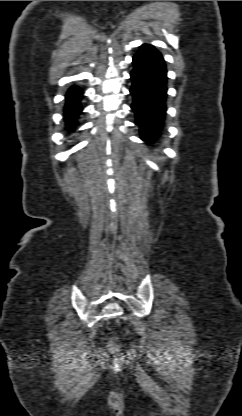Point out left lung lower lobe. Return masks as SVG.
<instances>
[{
    "mask_svg": "<svg viewBox=\"0 0 242 416\" xmlns=\"http://www.w3.org/2000/svg\"><path fill=\"white\" fill-rule=\"evenodd\" d=\"M130 74L131 105L140 138L154 143L163 130L166 115L167 71L162 55L152 45L143 44L133 57Z\"/></svg>",
    "mask_w": 242,
    "mask_h": 416,
    "instance_id": "left-lung-lower-lobe-1",
    "label": "left lung lower lobe"
}]
</instances>
